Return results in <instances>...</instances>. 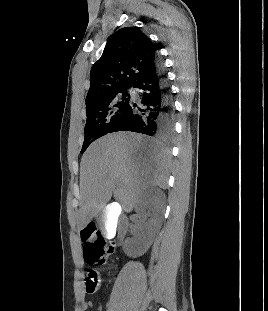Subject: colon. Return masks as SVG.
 <instances>
[{
    "label": "colon",
    "mask_w": 268,
    "mask_h": 311,
    "mask_svg": "<svg viewBox=\"0 0 268 311\" xmlns=\"http://www.w3.org/2000/svg\"><path fill=\"white\" fill-rule=\"evenodd\" d=\"M84 260L90 265H102L113 254V249L105 245L102 233L92 224L81 231ZM100 278L94 271H90L86 278L87 292H94L99 288Z\"/></svg>",
    "instance_id": "5ec220e1"
}]
</instances>
